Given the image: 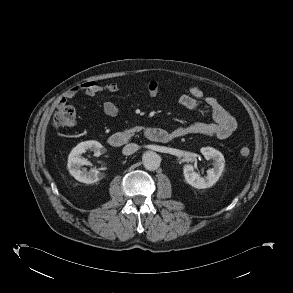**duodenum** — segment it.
<instances>
[{
    "label": "duodenum",
    "mask_w": 293,
    "mask_h": 293,
    "mask_svg": "<svg viewBox=\"0 0 293 293\" xmlns=\"http://www.w3.org/2000/svg\"><path fill=\"white\" fill-rule=\"evenodd\" d=\"M147 139L158 143H168L174 136L161 128H147L144 130ZM132 135L127 132H116L109 136L108 143L113 147H121L131 140Z\"/></svg>",
    "instance_id": "410a0bca"
}]
</instances>
